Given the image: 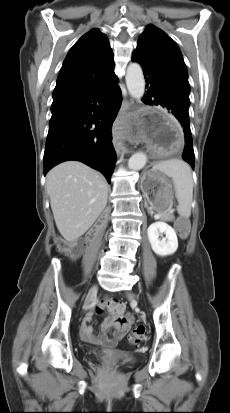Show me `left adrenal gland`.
<instances>
[{"label":"left adrenal gland","mask_w":230,"mask_h":413,"mask_svg":"<svg viewBox=\"0 0 230 413\" xmlns=\"http://www.w3.org/2000/svg\"><path fill=\"white\" fill-rule=\"evenodd\" d=\"M145 206L147 207V209H148V205L145 203ZM148 213H150L151 215H152V212L148 209Z\"/></svg>","instance_id":"left-adrenal-gland-1"}]
</instances>
